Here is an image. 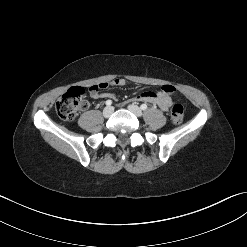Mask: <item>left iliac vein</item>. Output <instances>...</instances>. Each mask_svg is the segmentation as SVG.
I'll return each instance as SVG.
<instances>
[{"mask_svg": "<svg viewBox=\"0 0 247 247\" xmlns=\"http://www.w3.org/2000/svg\"><path fill=\"white\" fill-rule=\"evenodd\" d=\"M128 109L133 113L135 114L136 116L140 117L142 115V111L141 109L135 105V104H131L128 106Z\"/></svg>", "mask_w": 247, "mask_h": 247, "instance_id": "left-iliac-vein-1", "label": "left iliac vein"}]
</instances>
